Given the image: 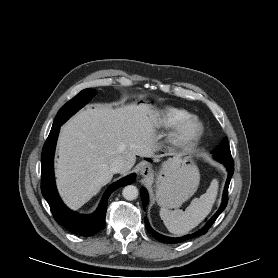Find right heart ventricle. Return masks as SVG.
I'll use <instances>...</instances> for the list:
<instances>
[{"label": "right heart ventricle", "mask_w": 278, "mask_h": 278, "mask_svg": "<svg viewBox=\"0 0 278 278\" xmlns=\"http://www.w3.org/2000/svg\"><path fill=\"white\" fill-rule=\"evenodd\" d=\"M191 116L185 109L177 107H166L160 112L162 124L168 128H175L181 121Z\"/></svg>", "instance_id": "right-heart-ventricle-1"}]
</instances>
